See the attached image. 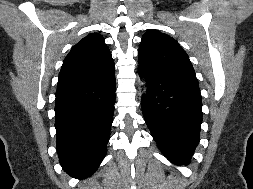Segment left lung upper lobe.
Returning a JSON list of instances; mask_svg holds the SVG:
<instances>
[{
	"instance_id": "left-lung-upper-lobe-1",
	"label": "left lung upper lobe",
	"mask_w": 253,
	"mask_h": 189,
	"mask_svg": "<svg viewBox=\"0 0 253 189\" xmlns=\"http://www.w3.org/2000/svg\"><path fill=\"white\" fill-rule=\"evenodd\" d=\"M138 62L151 73L179 78L199 86L186 52L175 39L157 30H149L143 35Z\"/></svg>"
}]
</instances>
